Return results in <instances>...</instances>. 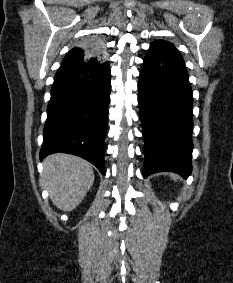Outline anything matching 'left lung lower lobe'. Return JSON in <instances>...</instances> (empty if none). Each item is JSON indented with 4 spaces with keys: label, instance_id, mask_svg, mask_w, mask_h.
<instances>
[{
    "label": "left lung lower lobe",
    "instance_id": "0a47b994",
    "mask_svg": "<svg viewBox=\"0 0 233 283\" xmlns=\"http://www.w3.org/2000/svg\"><path fill=\"white\" fill-rule=\"evenodd\" d=\"M139 111L145 138L143 176L191 174L193 97L185 63L169 42L152 43L140 72Z\"/></svg>",
    "mask_w": 233,
    "mask_h": 283
}]
</instances>
